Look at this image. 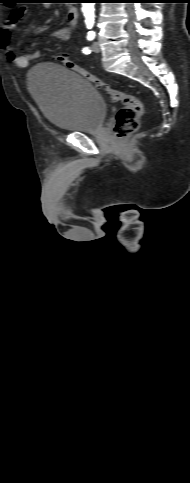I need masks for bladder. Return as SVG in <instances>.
<instances>
[{
  "label": "bladder",
  "instance_id": "obj_1",
  "mask_svg": "<svg viewBox=\"0 0 190 483\" xmlns=\"http://www.w3.org/2000/svg\"><path fill=\"white\" fill-rule=\"evenodd\" d=\"M28 88L46 119L71 132L98 131L106 117V104L94 85L80 74L54 63L31 69Z\"/></svg>",
  "mask_w": 190,
  "mask_h": 483
}]
</instances>
